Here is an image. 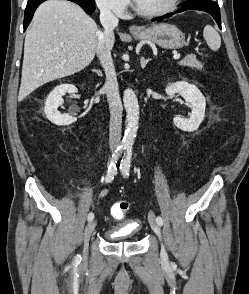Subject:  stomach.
I'll return each instance as SVG.
<instances>
[{
	"instance_id": "obj_1",
	"label": "stomach",
	"mask_w": 249,
	"mask_h": 294,
	"mask_svg": "<svg viewBox=\"0 0 249 294\" xmlns=\"http://www.w3.org/2000/svg\"><path fill=\"white\" fill-rule=\"evenodd\" d=\"M136 40L151 41L157 45L176 49L185 45V35L175 25L168 23H159L147 28H142L137 32H132Z\"/></svg>"
}]
</instances>
